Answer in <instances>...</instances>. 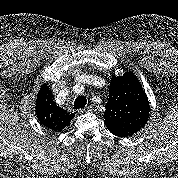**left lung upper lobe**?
Instances as JSON below:
<instances>
[{
	"instance_id": "left-lung-upper-lobe-1",
	"label": "left lung upper lobe",
	"mask_w": 178,
	"mask_h": 178,
	"mask_svg": "<svg viewBox=\"0 0 178 178\" xmlns=\"http://www.w3.org/2000/svg\"><path fill=\"white\" fill-rule=\"evenodd\" d=\"M105 107L103 117L106 127L132 134L140 131L149 118V101L139 80L131 71L120 77L112 76Z\"/></svg>"
}]
</instances>
